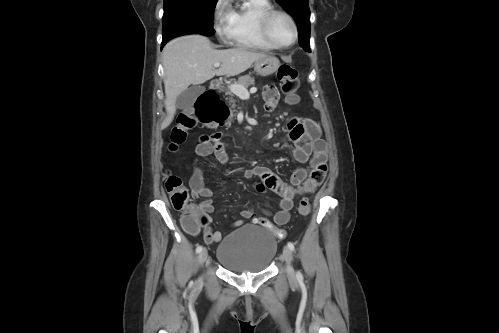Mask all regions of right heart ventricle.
Instances as JSON below:
<instances>
[{
	"label": "right heart ventricle",
	"mask_w": 499,
	"mask_h": 333,
	"mask_svg": "<svg viewBox=\"0 0 499 333\" xmlns=\"http://www.w3.org/2000/svg\"><path fill=\"white\" fill-rule=\"evenodd\" d=\"M271 8L273 6L270 0H246L243 5L231 7L232 25L229 40L231 44L252 50L275 49L263 37L260 30V17Z\"/></svg>",
	"instance_id": "e07e8e85"
}]
</instances>
